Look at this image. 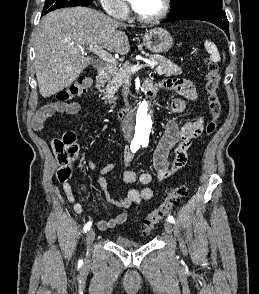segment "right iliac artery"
<instances>
[{"instance_id": "82829eb1", "label": "right iliac artery", "mask_w": 259, "mask_h": 294, "mask_svg": "<svg viewBox=\"0 0 259 294\" xmlns=\"http://www.w3.org/2000/svg\"><path fill=\"white\" fill-rule=\"evenodd\" d=\"M139 147H140V143L139 142H132L131 143V146H130L131 151L133 153H135L139 149ZM91 225H92V222L91 221L87 222L85 224L84 228H83V232L86 233L90 229Z\"/></svg>"}]
</instances>
